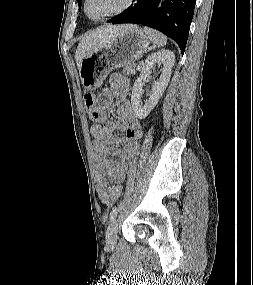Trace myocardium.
<instances>
[{
  "mask_svg": "<svg viewBox=\"0 0 253 285\" xmlns=\"http://www.w3.org/2000/svg\"><path fill=\"white\" fill-rule=\"evenodd\" d=\"M88 1L89 0H84L83 2V11H84V14L86 15V17L91 20V21H95V22H98V21H103V20H106L108 18H111V17H114V16H117V15H120L122 13H124L125 11H127L129 8L132 7V5L134 4L135 0H126L125 1V4L118 10L114 11V12H111V13H108L106 15H103V16H100V17H96V18H93L91 17L88 12H87V4H88Z\"/></svg>",
  "mask_w": 253,
  "mask_h": 285,
  "instance_id": "f54148a6",
  "label": "myocardium"
}]
</instances>
